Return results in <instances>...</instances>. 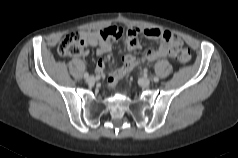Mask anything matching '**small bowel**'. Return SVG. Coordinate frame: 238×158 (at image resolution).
Returning a JSON list of instances; mask_svg holds the SVG:
<instances>
[{
  "mask_svg": "<svg viewBox=\"0 0 238 158\" xmlns=\"http://www.w3.org/2000/svg\"><path fill=\"white\" fill-rule=\"evenodd\" d=\"M110 28L116 30V32H120L119 29L115 27ZM100 32L101 31L85 30L80 34L85 41L86 47L97 48L96 56L98 57V62L96 64V72L98 75L103 76L105 72V55L110 53L112 47L109 41L102 38ZM140 34H143L149 39L160 40V45L156 49H148L145 52L141 58V61L143 62H151L172 55L171 47H174L175 45H181L179 39L167 30L159 28H146L143 30L136 27L129 28L124 39V48L126 54L123 57V64L119 68L109 72V85H115L119 79L128 74L139 62L131 53L140 49L141 47L139 42Z\"/></svg>",
  "mask_w": 238,
  "mask_h": 158,
  "instance_id": "small-bowel-1",
  "label": "small bowel"
}]
</instances>
